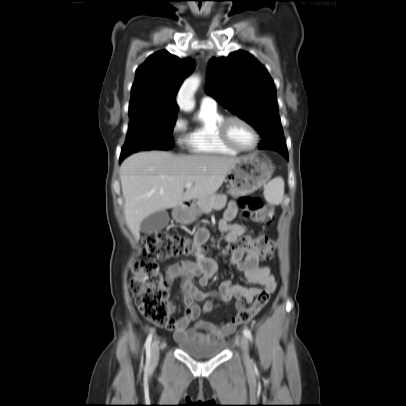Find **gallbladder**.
I'll return each mask as SVG.
<instances>
[{
	"instance_id": "1",
	"label": "gallbladder",
	"mask_w": 406,
	"mask_h": 406,
	"mask_svg": "<svg viewBox=\"0 0 406 406\" xmlns=\"http://www.w3.org/2000/svg\"><path fill=\"white\" fill-rule=\"evenodd\" d=\"M169 220V214L166 210L157 211L142 221L140 231L144 233L158 232L167 226Z\"/></svg>"
}]
</instances>
